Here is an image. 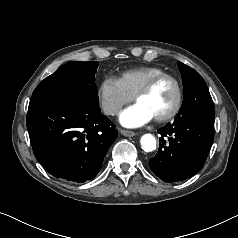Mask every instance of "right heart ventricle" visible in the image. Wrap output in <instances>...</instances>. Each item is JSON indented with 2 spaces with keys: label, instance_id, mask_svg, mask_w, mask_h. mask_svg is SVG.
<instances>
[{
  "label": "right heart ventricle",
  "instance_id": "e07e8e85",
  "mask_svg": "<svg viewBox=\"0 0 238 238\" xmlns=\"http://www.w3.org/2000/svg\"><path fill=\"white\" fill-rule=\"evenodd\" d=\"M166 73L157 66H140L122 72L118 78L123 89L130 95L134 94L151 78Z\"/></svg>",
  "mask_w": 238,
  "mask_h": 238
}]
</instances>
